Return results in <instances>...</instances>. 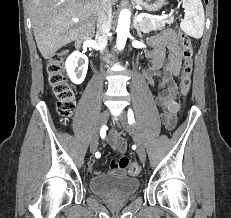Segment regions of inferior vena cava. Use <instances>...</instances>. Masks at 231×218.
<instances>
[{
  "instance_id": "1",
  "label": "inferior vena cava",
  "mask_w": 231,
  "mask_h": 218,
  "mask_svg": "<svg viewBox=\"0 0 231 218\" xmlns=\"http://www.w3.org/2000/svg\"><path fill=\"white\" fill-rule=\"evenodd\" d=\"M96 21H97V41L102 48L107 45V34L111 30L112 3L111 0L95 1Z\"/></svg>"
}]
</instances>
